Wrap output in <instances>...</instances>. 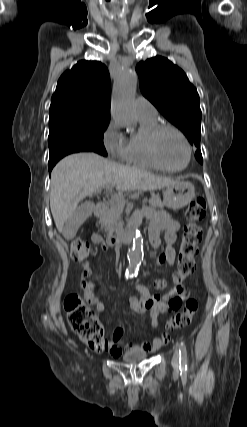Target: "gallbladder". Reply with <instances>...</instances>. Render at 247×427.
Instances as JSON below:
<instances>
[{
  "label": "gallbladder",
  "mask_w": 247,
  "mask_h": 427,
  "mask_svg": "<svg viewBox=\"0 0 247 427\" xmlns=\"http://www.w3.org/2000/svg\"><path fill=\"white\" fill-rule=\"evenodd\" d=\"M94 209V203L83 202L81 203L72 216L65 222L63 226V235L65 238H73L79 227L87 220Z\"/></svg>",
  "instance_id": "gallbladder-1"
}]
</instances>
